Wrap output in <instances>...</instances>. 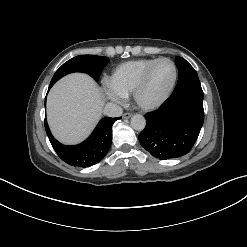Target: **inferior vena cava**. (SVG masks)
<instances>
[{
	"label": "inferior vena cava",
	"instance_id": "inferior-vena-cava-1",
	"mask_svg": "<svg viewBox=\"0 0 247 247\" xmlns=\"http://www.w3.org/2000/svg\"><path fill=\"white\" fill-rule=\"evenodd\" d=\"M103 113L109 117H119L122 115L123 110L114 103H107L103 109Z\"/></svg>",
	"mask_w": 247,
	"mask_h": 247
}]
</instances>
